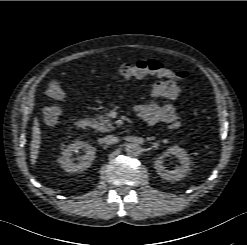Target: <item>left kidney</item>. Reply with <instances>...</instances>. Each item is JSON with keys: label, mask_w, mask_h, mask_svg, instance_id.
I'll return each mask as SVG.
<instances>
[{"label": "left kidney", "mask_w": 247, "mask_h": 245, "mask_svg": "<svg viewBox=\"0 0 247 245\" xmlns=\"http://www.w3.org/2000/svg\"><path fill=\"white\" fill-rule=\"evenodd\" d=\"M174 155L179 159L180 166L175 167L174 170H167L163 165L164 158ZM191 161L187 152L180 148L179 146L169 147L164 154L154 161V166L158 175L161 178L168 181H178L184 178L191 170L190 168Z\"/></svg>", "instance_id": "1"}]
</instances>
